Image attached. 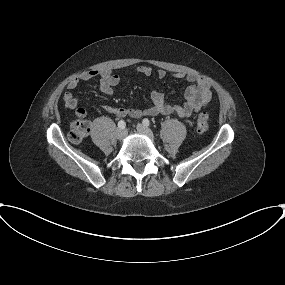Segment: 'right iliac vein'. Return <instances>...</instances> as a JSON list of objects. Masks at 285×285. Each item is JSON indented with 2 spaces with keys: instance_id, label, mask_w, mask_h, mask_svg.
I'll return each instance as SVG.
<instances>
[{
  "instance_id": "obj_1",
  "label": "right iliac vein",
  "mask_w": 285,
  "mask_h": 285,
  "mask_svg": "<svg viewBox=\"0 0 285 285\" xmlns=\"http://www.w3.org/2000/svg\"><path fill=\"white\" fill-rule=\"evenodd\" d=\"M127 136V131L125 129H117L116 137L119 140H123Z\"/></svg>"
}]
</instances>
